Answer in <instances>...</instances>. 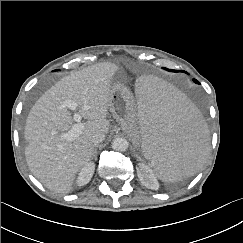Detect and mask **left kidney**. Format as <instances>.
<instances>
[{
  "label": "left kidney",
  "mask_w": 243,
  "mask_h": 243,
  "mask_svg": "<svg viewBox=\"0 0 243 243\" xmlns=\"http://www.w3.org/2000/svg\"><path fill=\"white\" fill-rule=\"evenodd\" d=\"M138 177L141 183L152 190H157L159 187L158 181L153 174V171L144 163H139L136 168Z\"/></svg>",
  "instance_id": "obj_1"
}]
</instances>
